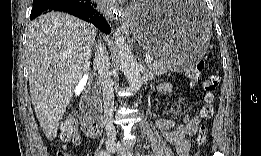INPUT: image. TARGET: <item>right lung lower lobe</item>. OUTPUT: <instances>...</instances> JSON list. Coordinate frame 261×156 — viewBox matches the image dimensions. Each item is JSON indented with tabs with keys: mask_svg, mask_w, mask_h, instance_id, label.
<instances>
[{
	"mask_svg": "<svg viewBox=\"0 0 261 156\" xmlns=\"http://www.w3.org/2000/svg\"><path fill=\"white\" fill-rule=\"evenodd\" d=\"M50 11H63L90 21L104 33H110V26L102 14L97 11V4L90 0H33L30 18H36Z\"/></svg>",
	"mask_w": 261,
	"mask_h": 156,
	"instance_id": "1",
	"label": "right lung lower lobe"
}]
</instances>
